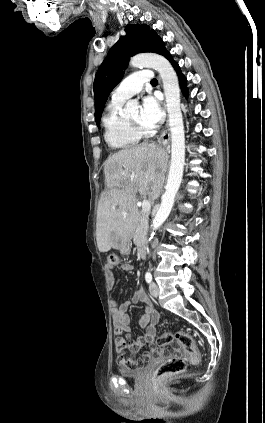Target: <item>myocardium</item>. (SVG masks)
Listing matches in <instances>:
<instances>
[{
	"label": "myocardium",
	"mask_w": 265,
	"mask_h": 423,
	"mask_svg": "<svg viewBox=\"0 0 265 423\" xmlns=\"http://www.w3.org/2000/svg\"><path fill=\"white\" fill-rule=\"evenodd\" d=\"M126 119L128 123L130 124V126L134 129V131L137 132L139 135L146 133L147 128L144 125L136 123L132 121L130 118H126Z\"/></svg>",
	"instance_id": "1"
}]
</instances>
